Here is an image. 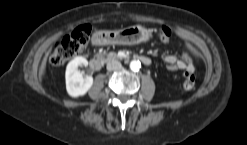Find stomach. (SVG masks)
I'll use <instances>...</instances> for the list:
<instances>
[{"instance_id":"0dacf381","label":"stomach","mask_w":247,"mask_h":145,"mask_svg":"<svg viewBox=\"0 0 247 145\" xmlns=\"http://www.w3.org/2000/svg\"><path fill=\"white\" fill-rule=\"evenodd\" d=\"M104 35V44L134 45L146 42L151 37V32L143 26L134 25L120 30L100 31Z\"/></svg>"}]
</instances>
